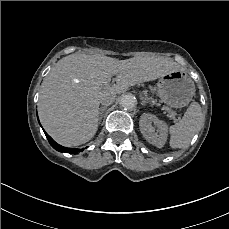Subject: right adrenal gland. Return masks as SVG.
Returning a JSON list of instances; mask_svg holds the SVG:
<instances>
[{"label": "right adrenal gland", "mask_w": 229, "mask_h": 229, "mask_svg": "<svg viewBox=\"0 0 229 229\" xmlns=\"http://www.w3.org/2000/svg\"><path fill=\"white\" fill-rule=\"evenodd\" d=\"M106 109H107V106H103L100 108V110H99L100 121L103 118V114H104Z\"/></svg>", "instance_id": "right-adrenal-gland-1"}]
</instances>
